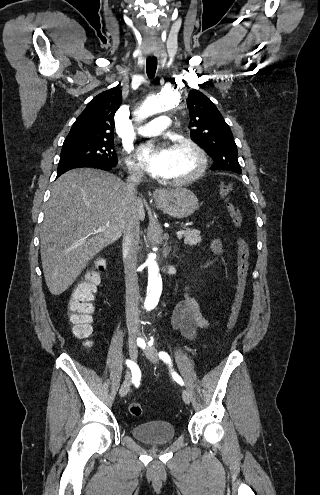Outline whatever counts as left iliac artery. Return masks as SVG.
Wrapping results in <instances>:
<instances>
[{"mask_svg":"<svg viewBox=\"0 0 320 495\" xmlns=\"http://www.w3.org/2000/svg\"><path fill=\"white\" fill-rule=\"evenodd\" d=\"M159 357L160 359H162L166 364H169L171 365V358L169 356V354L165 351H160L159 352ZM172 376L173 378L180 384V385H184V382L182 380V378L175 372H172Z\"/></svg>","mask_w":320,"mask_h":495,"instance_id":"left-iliac-artery-1","label":"left iliac artery"}]
</instances>
